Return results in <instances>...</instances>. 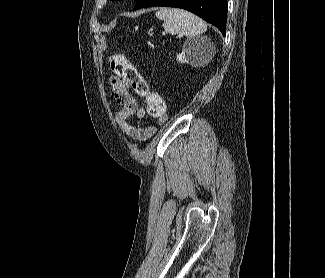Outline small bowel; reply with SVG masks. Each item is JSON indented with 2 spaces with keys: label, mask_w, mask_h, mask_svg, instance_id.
Here are the masks:
<instances>
[{
  "label": "small bowel",
  "mask_w": 325,
  "mask_h": 278,
  "mask_svg": "<svg viewBox=\"0 0 325 278\" xmlns=\"http://www.w3.org/2000/svg\"><path fill=\"white\" fill-rule=\"evenodd\" d=\"M110 88L114 94L115 101L120 105V110L115 115L116 122L122 127L128 137L137 142L146 141L155 131V127L136 126L131 122L133 117L142 120L145 117V110L139 105L136 98L130 93L131 85L118 77L109 79ZM165 117L159 119L163 122Z\"/></svg>",
  "instance_id": "small-bowel-1"
}]
</instances>
